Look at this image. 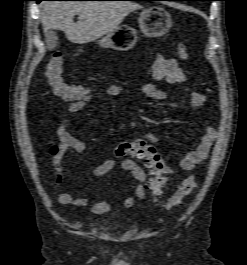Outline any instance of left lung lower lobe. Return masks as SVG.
Masks as SVG:
<instances>
[{
    "instance_id": "obj_1",
    "label": "left lung lower lobe",
    "mask_w": 247,
    "mask_h": 265,
    "mask_svg": "<svg viewBox=\"0 0 247 265\" xmlns=\"http://www.w3.org/2000/svg\"><path fill=\"white\" fill-rule=\"evenodd\" d=\"M143 1H154V0H143ZM166 1H202V0H166Z\"/></svg>"
}]
</instances>
